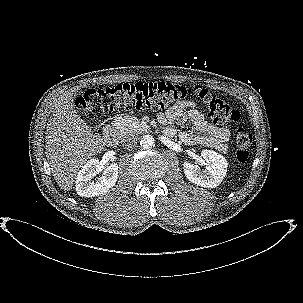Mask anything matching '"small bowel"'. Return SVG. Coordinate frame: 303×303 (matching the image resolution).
Masks as SVG:
<instances>
[{"mask_svg": "<svg viewBox=\"0 0 303 303\" xmlns=\"http://www.w3.org/2000/svg\"><path fill=\"white\" fill-rule=\"evenodd\" d=\"M158 121L165 126L167 136H174V124H183L190 121L196 133L182 131L180 139L188 145H197L214 148L226 152L230 132L227 127L210 123L198 109L197 104L191 100H182L170 106L165 112L157 115Z\"/></svg>", "mask_w": 303, "mask_h": 303, "instance_id": "obj_1", "label": "small bowel"}]
</instances>
